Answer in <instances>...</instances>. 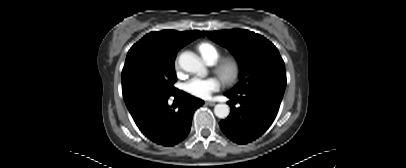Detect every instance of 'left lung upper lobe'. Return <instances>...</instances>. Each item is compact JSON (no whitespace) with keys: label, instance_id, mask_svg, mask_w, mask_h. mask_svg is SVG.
I'll return each mask as SVG.
<instances>
[{"label":"left lung upper lobe","instance_id":"obj_1","mask_svg":"<svg viewBox=\"0 0 406 168\" xmlns=\"http://www.w3.org/2000/svg\"><path fill=\"white\" fill-rule=\"evenodd\" d=\"M214 42L228 48L240 64V81L230 93L265 90L284 93L285 64L277 48L266 38L248 30L204 32Z\"/></svg>","mask_w":406,"mask_h":168}]
</instances>
